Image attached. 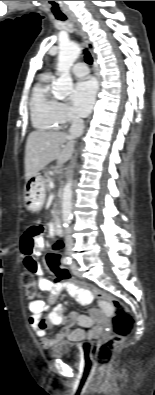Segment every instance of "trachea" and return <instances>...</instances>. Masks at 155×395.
Listing matches in <instances>:
<instances>
[{
	"label": "trachea",
	"instance_id": "obj_1",
	"mask_svg": "<svg viewBox=\"0 0 155 395\" xmlns=\"http://www.w3.org/2000/svg\"><path fill=\"white\" fill-rule=\"evenodd\" d=\"M55 17H56V19L61 20V21H64V20L67 19L66 16L63 15V14L56 15ZM84 58H85L86 63L92 64L93 59H92V56H91V54L89 53V51L87 49H84Z\"/></svg>",
	"mask_w": 155,
	"mask_h": 395
}]
</instances>
